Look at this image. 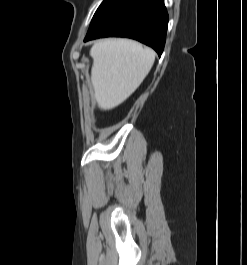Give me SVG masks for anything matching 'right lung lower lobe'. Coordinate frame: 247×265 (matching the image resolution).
<instances>
[{
  "label": "right lung lower lobe",
  "instance_id": "1",
  "mask_svg": "<svg viewBox=\"0 0 247 265\" xmlns=\"http://www.w3.org/2000/svg\"><path fill=\"white\" fill-rule=\"evenodd\" d=\"M167 24L164 0H104L84 41L108 36L129 37L151 46L160 56Z\"/></svg>",
  "mask_w": 247,
  "mask_h": 265
}]
</instances>
